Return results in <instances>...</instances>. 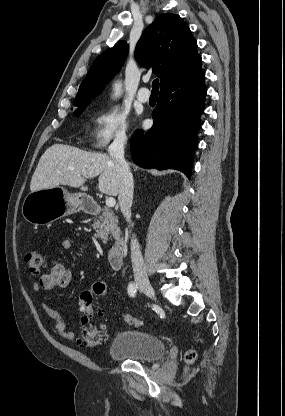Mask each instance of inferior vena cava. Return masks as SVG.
Wrapping results in <instances>:
<instances>
[{"mask_svg":"<svg viewBox=\"0 0 285 416\" xmlns=\"http://www.w3.org/2000/svg\"><path fill=\"white\" fill-rule=\"evenodd\" d=\"M127 142V136L124 130L117 132L115 140L108 148V152L117 168V172L121 174V186L119 188V204L120 210L131 224V206L133 200V176L130 172L128 162L124 158V146ZM131 262L134 274L138 276H146V266L140 252L138 240L133 236L131 240Z\"/></svg>","mask_w":285,"mask_h":416,"instance_id":"obj_1","label":"inferior vena cava"}]
</instances>
